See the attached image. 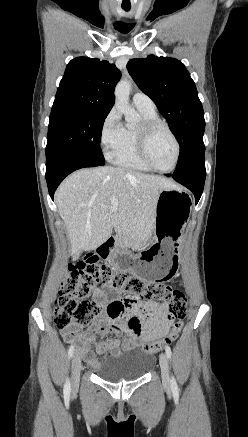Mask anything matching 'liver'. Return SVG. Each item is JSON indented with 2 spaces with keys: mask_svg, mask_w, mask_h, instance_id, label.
Returning a JSON list of instances; mask_svg holds the SVG:
<instances>
[{
  "mask_svg": "<svg viewBox=\"0 0 248 437\" xmlns=\"http://www.w3.org/2000/svg\"><path fill=\"white\" fill-rule=\"evenodd\" d=\"M176 188L167 178L118 167L81 169L67 177L55 194L66 226L71 255L96 249L115 232L136 244L149 241L159 192ZM118 210L110 211V197Z\"/></svg>",
  "mask_w": 248,
  "mask_h": 437,
  "instance_id": "liver-1",
  "label": "liver"
}]
</instances>
